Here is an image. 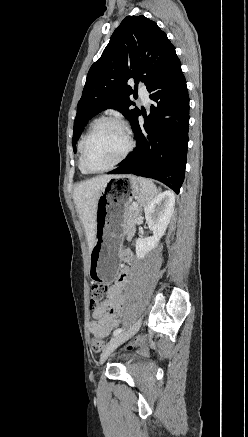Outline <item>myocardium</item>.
Listing matches in <instances>:
<instances>
[{"label": "myocardium", "mask_w": 248, "mask_h": 437, "mask_svg": "<svg viewBox=\"0 0 248 437\" xmlns=\"http://www.w3.org/2000/svg\"><path fill=\"white\" fill-rule=\"evenodd\" d=\"M107 124H114L117 125L118 127H120L122 129V131L124 132L126 141H127V146L126 149L124 150V152L122 153V155L115 161L113 162L111 165L102 168V169H93L89 166L88 162H87V149H88V145L91 141V139L93 138V136L105 125ZM135 142L132 136V133L129 129V127L127 126V124L118 119V118H114V117H107V118H103L100 119L93 127L92 129L89 131V133L87 134V136L85 137L83 144H82V149H81V161H82V165L84 167V169L89 172V173H102V172H106L109 171L111 169H113L114 167H116L117 165H119L121 162H123L128 155L132 152L133 148H134Z\"/></svg>", "instance_id": "1"}]
</instances>
